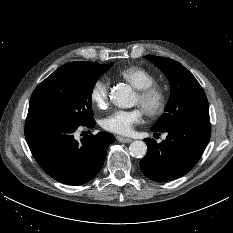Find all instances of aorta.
I'll use <instances>...</instances> for the list:
<instances>
[{
	"label": "aorta",
	"mask_w": 233,
	"mask_h": 233,
	"mask_svg": "<svg viewBox=\"0 0 233 233\" xmlns=\"http://www.w3.org/2000/svg\"><path fill=\"white\" fill-rule=\"evenodd\" d=\"M112 102L122 108H131L135 105V93L129 85L118 84L110 93ZM130 154L136 158H142L147 153V145L145 142L136 140L129 146Z\"/></svg>",
	"instance_id": "aorta-1"
}]
</instances>
